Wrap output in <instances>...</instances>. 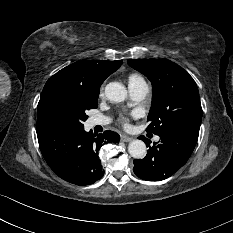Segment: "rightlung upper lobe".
Masks as SVG:
<instances>
[{
    "label": "right lung upper lobe",
    "instance_id": "1",
    "mask_svg": "<svg viewBox=\"0 0 233 233\" xmlns=\"http://www.w3.org/2000/svg\"><path fill=\"white\" fill-rule=\"evenodd\" d=\"M121 64V60H82L63 68L51 78L67 80L87 91H99L103 81Z\"/></svg>",
    "mask_w": 233,
    "mask_h": 233
}]
</instances>
